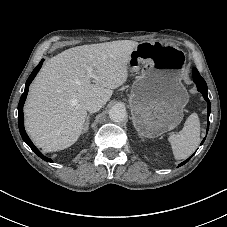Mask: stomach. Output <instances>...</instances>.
Wrapping results in <instances>:
<instances>
[{
  "instance_id": "obj_1",
  "label": "stomach",
  "mask_w": 227,
  "mask_h": 227,
  "mask_svg": "<svg viewBox=\"0 0 227 227\" xmlns=\"http://www.w3.org/2000/svg\"><path fill=\"white\" fill-rule=\"evenodd\" d=\"M128 66L138 73L129 96L137 132L156 138L174 129L183 119L189 98L181 82L184 52L161 42H141L132 51Z\"/></svg>"
}]
</instances>
